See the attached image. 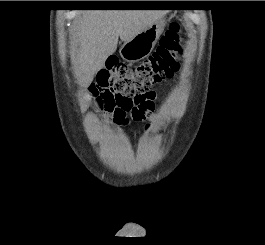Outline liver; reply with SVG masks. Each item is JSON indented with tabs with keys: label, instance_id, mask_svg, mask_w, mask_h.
<instances>
[{
	"label": "liver",
	"instance_id": "liver-1",
	"mask_svg": "<svg viewBox=\"0 0 265 245\" xmlns=\"http://www.w3.org/2000/svg\"><path fill=\"white\" fill-rule=\"evenodd\" d=\"M165 10H85L76 21V74L88 85L112 55L118 38L127 42L162 18Z\"/></svg>",
	"mask_w": 265,
	"mask_h": 245
}]
</instances>
